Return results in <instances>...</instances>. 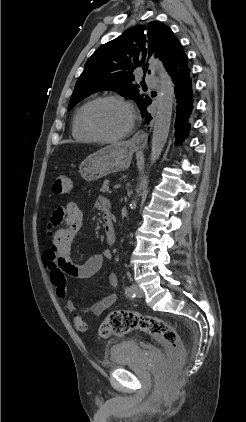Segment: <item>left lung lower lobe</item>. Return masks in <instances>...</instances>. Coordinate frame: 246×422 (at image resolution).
I'll use <instances>...</instances> for the list:
<instances>
[{"label": "left lung lower lobe", "instance_id": "obj_1", "mask_svg": "<svg viewBox=\"0 0 246 422\" xmlns=\"http://www.w3.org/2000/svg\"><path fill=\"white\" fill-rule=\"evenodd\" d=\"M166 70L175 84V95L177 99L176 121H175V139L176 143H182L188 136L190 130L189 118L194 108V96L192 81L190 78V68L188 67V58L183 51L182 45H179L174 56L170 60ZM151 104V101L149 105ZM147 108V107H146ZM141 111L145 123L152 119L147 110Z\"/></svg>", "mask_w": 246, "mask_h": 422}]
</instances>
